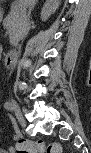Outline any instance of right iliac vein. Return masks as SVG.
Wrapping results in <instances>:
<instances>
[{
	"label": "right iliac vein",
	"instance_id": "63e3f726",
	"mask_svg": "<svg viewBox=\"0 0 91 153\" xmlns=\"http://www.w3.org/2000/svg\"><path fill=\"white\" fill-rule=\"evenodd\" d=\"M9 103L11 104V109L14 112L19 124L21 126L25 127L26 122H25V119L23 118V116L21 114V111H20V108H19L18 104L16 103V101L14 99H11Z\"/></svg>",
	"mask_w": 91,
	"mask_h": 153
}]
</instances>
